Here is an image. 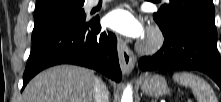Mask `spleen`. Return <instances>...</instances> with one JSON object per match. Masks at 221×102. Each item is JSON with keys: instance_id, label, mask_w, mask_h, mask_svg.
Segmentation results:
<instances>
[{"instance_id": "1", "label": "spleen", "mask_w": 221, "mask_h": 102, "mask_svg": "<svg viewBox=\"0 0 221 102\" xmlns=\"http://www.w3.org/2000/svg\"><path fill=\"white\" fill-rule=\"evenodd\" d=\"M173 80L182 86L191 88L198 102H217L211 86L199 76L190 72H177L173 74Z\"/></svg>"}]
</instances>
